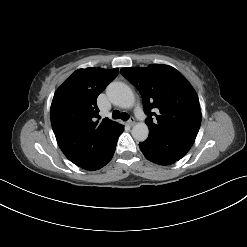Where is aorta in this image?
Instances as JSON below:
<instances>
[{
    "instance_id": "aorta-1",
    "label": "aorta",
    "mask_w": 247,
    "mask_h": 247,
    "mask_svg": "<svg viewBox=\"0 0 247 247\" xmlns=\"http://www.w3.org/2000/svg\"><path fill=\"white\" fill-rule=\"evenodd\" d=\"M106 93L110 101L121 108H130L135 102L131 88L123 82L111 83L107 87ZM131 133L136 141H145L149 135L148 126L143 122L136 123Z\"/></svg>"
}]
</instances>
